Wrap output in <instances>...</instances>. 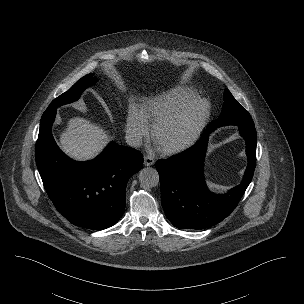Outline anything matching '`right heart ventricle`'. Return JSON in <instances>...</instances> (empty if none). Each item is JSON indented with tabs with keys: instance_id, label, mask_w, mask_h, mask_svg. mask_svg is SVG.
I'll list each match as a JSON object with an SVG mask.
<instances>
[{
	"instance_id": "right-heart-ventricle-1",
	"label": "right heart ventricle",
	"mask_w": 304,
	"mask_h": 304,
	"mask_svg": "<svg viewBox=\"0 0 304 304\" xmlns=\"http://www.w3.org/2000/svg\"><path fill=\"white\" fill-rule=\"evenodd\" d=\"M194 96H196V93L193 89L176 87L147 101L140 107L139 112L146 120L155 123L158 119L173 112Z\"/></svg>"
}]
</instances>
